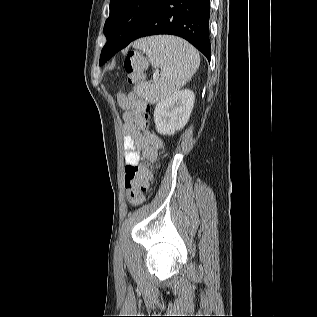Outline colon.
Instances as JSON below:
<instances>
[{
	"label": "colon",
	"instance_id": "1",
	"mask_svg": "<svg viewBox=\"0 0 317 317\" xmlns=\"http://www.w3.org/2000/svg\"><path fill=\"white\" fill-rule=\"evenodd\" d=\"M145 61L141 55L135 51H130L124 59V69L128 75V81L137 83L142 77ZM149 107L146 106L140 114L138 125L146 127L148 121ZM149 173L138 165L125 167V188L128 201L132 205H138L143 201V193L146 191Z\"/></svg>",
	"mask_w": 317,
	"mask_h": 317
}]
</instances>
